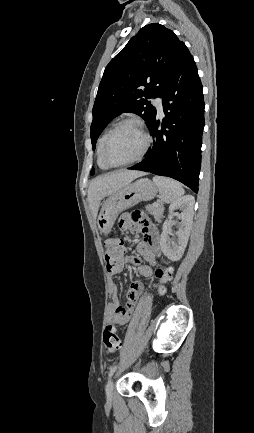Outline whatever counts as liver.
I'll list each match as a JSON object with an SVG mask.
<instances>
[{"mask_svg": "<svg viewBox=\"0 0 254 433\" xmlns=\"http://www.w3.org/2000/svg\"><path fill=\"white\" fill-rule=\"evenodd\" d=\"M145 175L141 171L119 170L93 179L88 188V202L94 217L97 216L101 200L106 196Z\"/></svg>", "mask_w": 254, "mask_h": 433, "instance_id": "6515ba94", "label": "liver"}]
</instances>
